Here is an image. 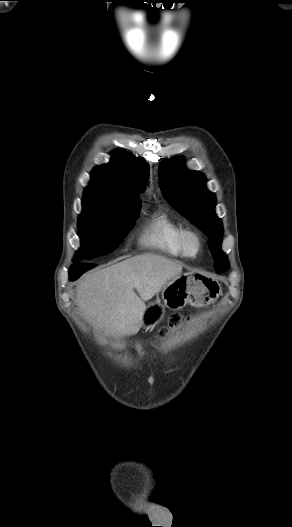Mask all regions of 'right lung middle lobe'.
I'll list each match as a JSON object with an SVG mask.
<instances>
[{"instance_id":"1","label":"right lung middle lobe","mask_w":292,"mask_h":527,"mask_svg":"<svg viewBox=\"0 0 292 527\" xmlns=\"http://www.w3.org/2000/svg\"><path fill=\"white\" fill-rule=\"evenodd\" d=\"M82 205L83 211L78 220L81 249L76 252L74 262L105 255L116 249L141 210V202L111 203L86 195Z\"/></svg>"}]
</instances>
